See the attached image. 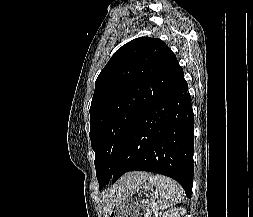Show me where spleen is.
I'll return each instance as SVG.
<instances>
[{
  "mask_svg": "<svg viewBox=\"0 0 253 217\" xmlns=\"http://www.w3.org/2000/svg\"><path fill=\"white\" fill-rule=\"evenodd\" d=\"M148 181L155 186L159 193L156 204L161 210H165L182 200L183 190L181 186L171 178L162 175H150Z\"/></svg>",
  "mask_w": 253,
  "mask_h": 217,
  "instance_id": "obj_1",
  "label": "spleen"
}]
</instances>
